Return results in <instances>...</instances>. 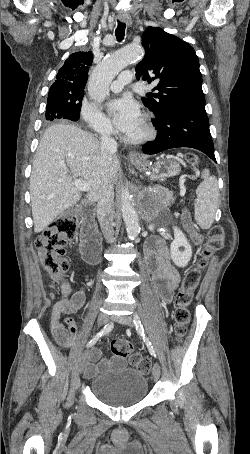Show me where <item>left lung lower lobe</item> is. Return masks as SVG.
I'll return each mask as SVG.
<instances>
[{
  "label": "left lung lower lobe",
  "mask_w": 250,
  "mask_h": 454,
  "mask_svg": "<svg viewBox=\"0 0 250 454\" xmlns=\"http://www.w3.org/2000/svg\"><path fill=\"white\" fill-rule=\"evenodd\" d=\"M156 139L143 145L145 154H156L177 147L195 148L216 162L205 106L183 107L152 121Z\"/></svg>",
  "instance_id": "0a47b994"
}]
</instances>
